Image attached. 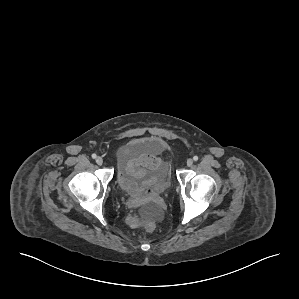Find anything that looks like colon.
<instances>
[{
    "label": "colon",
    "instance_id": "obj_1",
    "mask_svg": "<svg viewBox=\"0 0 299 299\" xmlns=\"http://www.w3.org/2000/svg\"><path fill=\"white\" fill-rule=\"evenodd\" d=\"M128 223L131 226H134V227L143 226L149 231L154 229V223L153 222H151L149 220H146V219H144V218H142L138 215H135V214H132L128 217Z\"/></svg>",
    "mask_w": 299,
    "mask_h": 299
}]
</instances>
